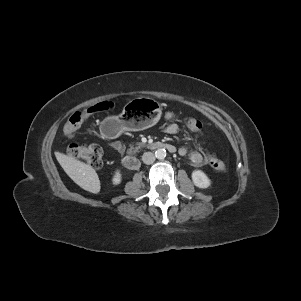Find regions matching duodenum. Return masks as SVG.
Returning a JSON list of instances; mask_svg holds the SVG:
<instances>
[{"label": "duodenum", "mask_w": 301, "mask_h": 301, "mask_svg": "<svg viewBox=\"0 0 301 301\" xmlns=\"http://www.w3.org/2000/svg\"><path fill=\"white\" fill-rule=\"evenodd\" d=\"M149 146L152 149H165L170 153H174L176 151V148L173 145L165 142H153ZM122 164L128 170H135L139 165L138 160L132 155L125 156L122 159Z\"/></svg>", "instance_id": "duodenum-1"}]
</instances>
